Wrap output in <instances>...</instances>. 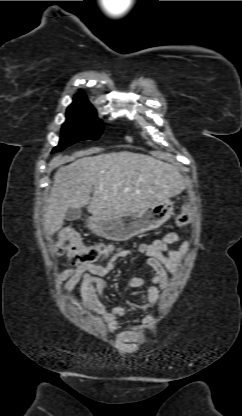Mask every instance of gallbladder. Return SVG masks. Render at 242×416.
I'll list each match as a JSON object with an SVG mask.
<instances>
[{
    "label": "gallbladder",
    "instance_id": "obj_1",
    "mask_svg": "<svg viewBox=\"0 0 242 416\" xmlns=\"http://www.w3.org/2000/svg\"><path fill=\"white\" fill-rule=\"evenodd\" d=\"M80 217H81L80 209L69 208L65 214V219L67 221H74V220L79 219Z\"/></svg>",
    "mask_w": 242,
    "mask_h": 416
}]
</instances>
